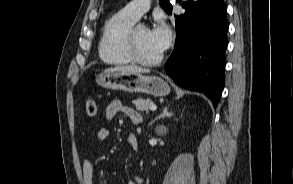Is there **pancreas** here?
Masks as SVG:
<instances>
[{"instance_id": "pancreas-1", "label": "pancreas", "mask_w": 293, "mask_h": 184, "mask_svg": "<svg viewBox=\"0 0 293 184\" xmlns=\"http://www.w3.org/2000/svg\"><path fill=\"white\" fill-rule=\"evenodd\" d=\"M133 104L135 105L137 111H140V112L145 111L147 113L150 106L153 105V102L149 99L139 98L134 100Z\"/></svg>"}]
</instances>
